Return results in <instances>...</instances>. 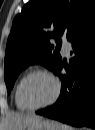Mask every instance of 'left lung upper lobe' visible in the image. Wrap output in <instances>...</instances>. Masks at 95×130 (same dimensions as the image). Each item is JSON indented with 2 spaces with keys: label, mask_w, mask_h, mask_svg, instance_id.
<instances>
[{
  "label": "left lung upper lobe",
  "mask_w": 95,
  "mask_h": 130,
  "mask_svg": "<svg viewBox=\"0 0 95 130\" xmlns=\"http://www.w3.org/2000/svg\"><path fill=\"white\" fill-rule=\"evenodd\" d=\"M95 13V0H31L13 21L8 37L4 80L8 91L19 73L39 63L55 72L61 62L60 37L69 40L79 25ZM56 40L57 47L50 43Z\"/></svg>",
  "instance_id": "5c2ea615"
}]
</instances>
